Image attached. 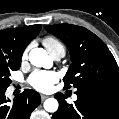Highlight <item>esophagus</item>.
<instances>
[{"mask_svg": "<svg viewBox=\"0 0 119 119\" xmlns=\"http://www.w3.org/2000/svg\"><path fill=\"white\" fill-rule=\"evenodd\" d=\"M46 98H48L47 95H44V94L41 95V100H42V101H44Z\"/></svg>", "mask_w": 119, "mask_h": 119, "instance_id": "obj_1", "label": "esophagus"}]
</instances>
